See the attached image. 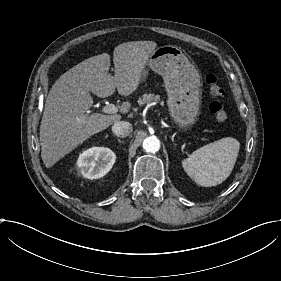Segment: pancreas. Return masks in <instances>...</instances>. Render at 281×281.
Wrapping results in <instances>:
<instances>
[{"label": "pancreas", "instance_id": "cf45deb5", "mask_svg": "<svg viewBox=\"0 0 281 281\" xmlns=\"http://www.w3.org/2000/svg\"><path fill=\"white\" fill-rule=\"evenodd\" d=\"M152 102H160V95L143 94L142 98L138 99V104L140 106L144 104H150Z\"/></svg>", "mask_w": 281, "mask_h": 281}]
</instances>
